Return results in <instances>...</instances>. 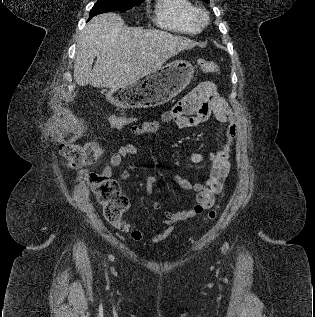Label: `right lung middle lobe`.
Here are the masks:
<instances>
[{"label": "right lung middle lobe", "instance_id": "1", "mask_svg": "<svg viewBox=\"0 0 315 317\" xmlns=\"http://www.w3.org/2000/svg\"><path fill=\"white\" fill-rule=\"evenodd\" d=\"M144 0H98L90 11V18L109 11H127Z\"/></svg>", "mask_w": 315, "mask_h": 317}]
</instances>
